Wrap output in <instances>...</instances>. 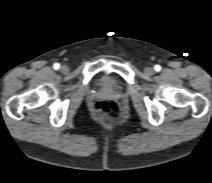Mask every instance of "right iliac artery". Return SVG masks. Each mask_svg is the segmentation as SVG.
<instances>
[{"label": "right iliac artery", "mask_w": 212, "mask_h": 183, "mask_svg": "<svg viewBox=\"0 0 212 183\" xmlns=\"http://www.w3.org/2000/svg\"><path fill=\"white\" fill-rule=\"evenodd\" d=\"M53 67H54L55 70H58V69L60 68V65H59L58 63H55V64L53 65Z\"/></svg>", "instance_id": "obj_1"}]
</instances>
